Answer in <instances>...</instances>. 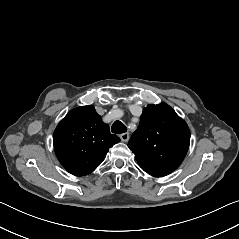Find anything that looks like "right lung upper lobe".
<instances>
[{
	"label": "right lung upper lobe",
	"instance_id": "obj_1",
	"mask_svg": "<svg viewBox=\"0 0 239 239\" xmlns=\"http://www.w3.org/2000/svg\"><path fill=\"white\" fill-rule=\"evenodd\" d=\"M119 141L92 105L70 111L53 135L58 160L75 176L93 172L103 162L109 148Z\"/></svg>",
	"mask_w": 239,
	"mask_h": 239
}]
</instances>
